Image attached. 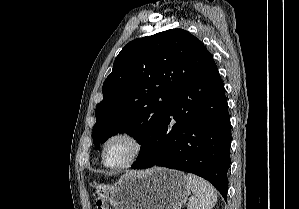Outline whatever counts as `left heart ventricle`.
Returning a JSON list of instances; mask_svg holds the SVG:
<instances>
[{"instance_id":"b2bd125f","label":"left heart ventricle","mask_w":299,"mask_h":209,"mask_svg":"<svg viewBox=\"0 0 299 209\" xmlns=\"http://www.w3.org/2000/svg\"><path fill=\"white\" fill-rule=\"evenodd\" d=\"M133 152V145L123 138L113 140L106 150V162L110 166H119L125 163Z\"/></svg>"}]
</instances>
